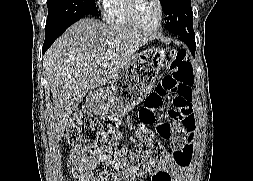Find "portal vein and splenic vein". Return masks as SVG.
Returning a JSON list of instances; mask_svg holds the SVG:
<instances>
[{"label":"portal vein and splenic vein","instance_id":"18ae733b","mask_svg":"<svg viewBox=\"0 0 253 181\" xmlns=\"http://www.w3.org/2000/svg\"><path fill=\"white\" fill-rule=\"evenodd\" d=\"M113 57H114V53H112V52H108L106 54V58H113Z\"/></svg>","mask_w":253,"mask_h":181}]
</instances>
